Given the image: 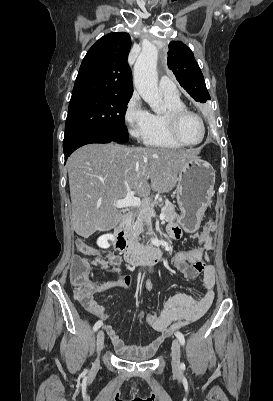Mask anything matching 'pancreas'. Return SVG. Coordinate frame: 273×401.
I'll return each instance as SVG.
<instances>
[{"mask_svg": "<svg viewBox=\"0 0 273 401\" xmlns=\"http://www.w3.org/2000/svg\"><path fill=\"white\" fill-rule=\"evenodd\" d=\"M160 207H162L161 213H164V221H166V223H173L174 219H177L178 215L175 213L172 203H165V205H160ZM144 223L148 225L149 235L152 233L150 215H148V213H140L135 225L132 227V233L135 239H139V235L143 233Z\"/></svg>", "mask_w": 273, "mask_h": 401, "instance_id": "cf45deb5", "label": "pancreas"}]
</instances>
